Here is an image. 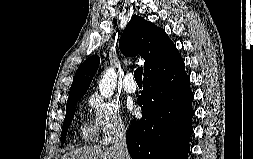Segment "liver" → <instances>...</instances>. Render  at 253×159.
I'll return each mask as SVG.
<instances>
[{"label": "liver", "mask_w": 253, "mask_h": 159, "mask_svg": "<svg viewBox=\"0 0 253 159\" xmlns=\"http://www.w3.org/2000/svg\"><path fill=\"white\" fill-rule=\"evenodd\" d=\"M61 159H118V155L112 147L86 146L70 151Z\"/></svg>", "instance_id": "6515ba94"}]
</instances>
